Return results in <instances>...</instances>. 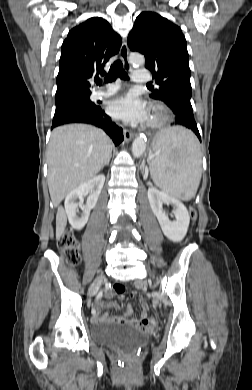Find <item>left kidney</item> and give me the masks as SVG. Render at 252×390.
<instances>
[{
	"instance_id": "5707ae66",
	"label": "left kidney",
	"mask_w": 252,
	"mask_h": 390,
	"mask_svg": "<svg viewBox=\"0 0 252 390\" xmlns=\"http://www.w3.org/2000/svg\"><path fill=\"white\" fill-rule=\"evenodd\" d=\"M148 199L164 235L173 242H180L186 236L190 223V217L184 204L154 187L148 189ZM163 204L174 206L175 219L173 221L169 220L168 215L163 211Z\"/></svg>"
}]
</instances>
